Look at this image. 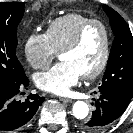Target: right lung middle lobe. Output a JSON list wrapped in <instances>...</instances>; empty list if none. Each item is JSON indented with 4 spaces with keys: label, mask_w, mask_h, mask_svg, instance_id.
<instances>
[{
    "label": "right lung middle lobe",
    "mask_w": 133,
    "mask_h": 133,
    "mask_svg": "<svg viewBox=\"0 0 133 133\" xmlns=\"http://www.w3.org/2000/svg\"><path fill=\"white\" fill-rule=\"evenodd\" d=\"M24 6L23 2L0 3V86L15 83L24 72L16 56L17 27Z\"/></svg>",
    "instance_id": "dd1d6c3e"
}]
</instances>
